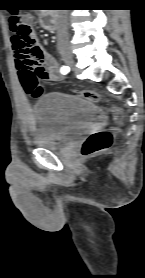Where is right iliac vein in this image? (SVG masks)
<instances>
[{
  "label": "right iliac vein",
  "instance_id": "1",
  "mask_svg": "<svg viewBox=\"0 0 145 278\" xmlns=\"http://www.w3.org/2000/svg\"><path fill=\"white\" fill-rule=\"evenodd\" d=\"M61 56L67 66L72 67L74 65V59L69 50H61Z\"/></svg>",
  "mask_w": 145,
  "mask_h": 278
}]
</instances>
